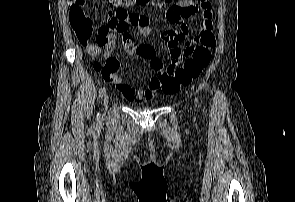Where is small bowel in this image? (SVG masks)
<instances>
[{"label": "small bowel", "instance_id": "small-bowel-1", "mask_svg": "<svg viewBox=\"0 0 295 202\" xmlns=\"http://www.w3.org/2000/svg\"><path fill=\"white\" fill-rule=\"evenodd\" d=\"M86 3L87 0H71L70 8L84 9ZM198 13L200 14L202 21L201 33L204 31L212 32L213 13L210 0H178L176 5L166 7V16L168 21L172 24L180 25V32L163 33V40L167 44L170 63L177 61L183 51L191 49L195 45V42L185 40V36L189 32V28L181 21L182 19L191 18ZM137 16L139 17V23L137 25L141 37L149 38L152 34L149 18L145 15ZM114 28H118L122 31V44L124 52L128 55L138 54L140 57L148 59L152 71L159 74L170 64L168 63V65L164 67V61L157 54L156 48L153 45L145 44L138 46L126 28L119 27V21L115 18V14L113 12H109L105 23L101 25L98 30V43L87 46V52L91 56L98 55L101 48L106 49L104 57L107 59H104V63H95V70L99 74L103 75L105 79L114 83L125 98L137 101L151 99L157 92L152 91L150 87L146 89H135L124 83L116 76V72H118V64H122V59H111L115 45V38L113 34Z\"/></svg>", "mask_w": 295, "mask_h": 202}]
</instances>
